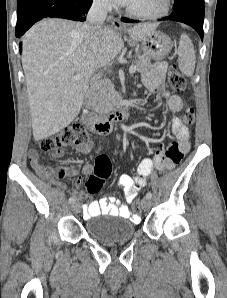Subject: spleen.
<instances>
[{"label":"spleen","instance_id":"spleen-1","mask_svg":"<svg viewBox=\"0 0 227 298\" xmlns=\"http://www.w3.org/2000/svg\"><path fill=\"white\" fill-rule=\"evenodd\" d=\"M178 66L180 71L190 77L194 73L196 55L191 39L186 34H182L178 46Z\"/></svg>","mask_w":227,"mask_h":298}]
</instances>
